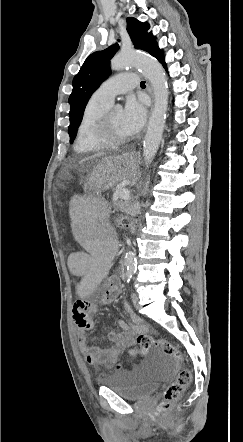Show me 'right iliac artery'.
Segmentation results:
<instances>
[{"label": "right iliac artery", "instance_id": "82829eb1", "mask_svg": "<svg viewBox=\"0 0 243 442\" xmlns=\"http://www.w3.org/2000/svg\"><path fill=\"white\" fill-rule=\"evenodd\" d=\"M126 275H127V282H129L130 279L132 278V273L128 272Z\"/></svg>", "mask_w": 243, "mask_h": 442}]
</instances>
